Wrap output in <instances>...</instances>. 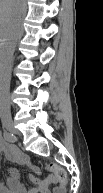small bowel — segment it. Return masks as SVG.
<instances>
[{
  "label": "small bowel",
  "instance_id": "c3829d8e",
  "mask_svg": "<svg viewBox=\"0 0 103 193\" xmlns=\"http://www.w3.org/2000/svg\"><path fill=\"white\" fill-rule=\"evenodd\" d=\"M0 150L10 161L30 168L33 172L30 179L34 183L33 187H25L19 180V171L16 168H10L7 172L6 184L1 193H65V188L58 185V179L55 176H49L45 179L40 178V168L32 164L26 155L9 144L5 138H1Z\"/></svg>",
  "mask_w": 103,
  "mask_h": 193
}]
</instances>
